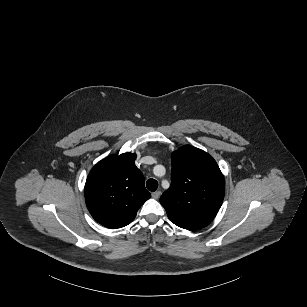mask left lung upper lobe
<instances>
[{"label":"left lung upper lobe","instance_id":"5c2ea615","mask_svg":"<svg viewBox=\"0 0 307 307\" xmlns=\"http://www.w3.org/2000/svg\"><path fill=\"white\" fill-rule=\"evenodd\" d=\"M171 186L160 202L175 225L196 230L207 226L223 202L225 181L216 161L186 145L171 155Z\"/></svg>","mask_w":307,"mask_h":307}]
</instances>
